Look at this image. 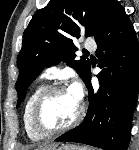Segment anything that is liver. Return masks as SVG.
<instances>
[{
  "label": "liver",
  "instance_id": "1",
  "mask_svg": "<svg viewBox=\"0 0 139 150\" xmlns=\"http://www.w3.org/2000/svg\"><path fill=\"white\" fill-rule=\"evenodd\" d=\"M55 145H49V146H39L37 150H53L55 149Z\"/></svg>",
  "mask_w": 139,
  "mask_h": 150
}]
</instances>
